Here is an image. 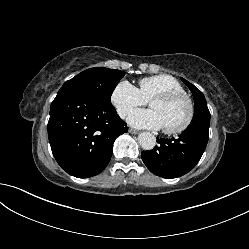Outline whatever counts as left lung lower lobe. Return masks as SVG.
Wrapping results in <instances>:
<instances>
[{
	"mask_svg": "<svg viewBox=\"0 0 249 249\" xmlns=\"http://www.w3.org/2000/svg\"><path fill=\"white\" fill-rule=\"evenodd\" d=\"M209 117L192 119L178 138H157L154 149L143 151L141 156L146 167L163 178L180 177L199 162L209 138Z\"/></svg>",
	"mask_w": 249,
	"mask_h": 249,
	"instance_id": "0a47b994",
	"label": "left lung lower lobe"
}]
</instances>
